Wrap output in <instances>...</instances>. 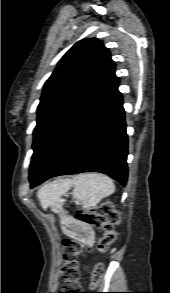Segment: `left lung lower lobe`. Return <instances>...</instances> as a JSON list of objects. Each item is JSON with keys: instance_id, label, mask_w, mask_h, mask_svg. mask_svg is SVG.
<instances>
[{"instance_id": "obj_1", "label": "left lung lower lobe", "mask_w": 170, "mask_h": 293, "mask_svg": "<svg viewBox=\"0 0 170 293\" xmlns=\"http://www.w3.org/2000/svg\"><path fill=\"white\" fill-rule=\"evenodd\" d=\"M124 114L117 84L44 172L29 176L31 188L51 177L82 172L104 173L126 185L128 137Z\"/></svg>"}]
</instances>
